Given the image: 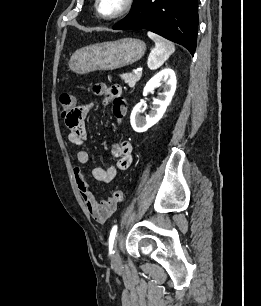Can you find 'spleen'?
Segmentation results:
<instances>
[{"mask_svg": "<svg viewBox=\"0 0 261 306\" xmlns=\"http://www.w3.org/2000/svg\"><path fill=\"white\" fill-rule=\"evenodd\" d=\"M148 37L155 42V48L152 49L147 65L149 69L156 70L169 58V56L175 51V46L170 41L162 38L161 36L148 32Z\"/></svg>", "mask_w": 261, "mask_h": 306, "instance_id": "3e777b00", "label": "spleen"}]
</instances>
